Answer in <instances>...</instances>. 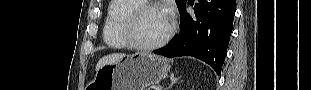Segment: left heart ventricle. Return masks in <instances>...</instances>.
<instances>
[{"instance_id": "1", "label": "left heart ventricle", "mask_w": 311, "mask_h": 90, "mask_svg": "<svg viewBox=\"0 0 311 90\" xmlns=\"http://www.w3.org/2000/svg\"><path fill=\"white\" fill-rule=\"evenodd\" d=\"M170 27V18L162 9L148 10L142 14L137 26V38L144 44L160 40Z\"/></svg>"}]
</instances>
